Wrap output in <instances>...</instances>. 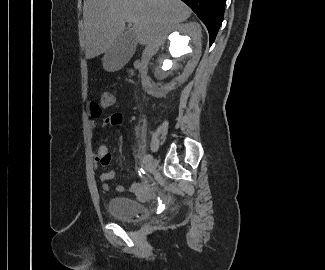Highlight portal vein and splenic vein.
Returning <instances> with one entry per match:
<instances>
[{
  "instance_id": "portal-vein-and-splenic-vein-1",
  "label": "portal vein and splenic vein",
  "mask_w": 325,
  "mask_h": 270,
  "mask_svg": "<svg viewBox=\"0 0 325 270\" xmlns=\"http://www.w3.org/2000/svg\"><path fill=\"white\" fill-rule=\"evenodd\" d=\"M127 20L132 22V23H137L138 22V20L135 17H128Z\"/></svg>"
}]
</instances>
